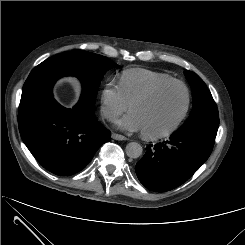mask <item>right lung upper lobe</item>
Here are the masks:
<instances>
[{
  "mask_svg": "<svg viewBox=\"0 0 245 245\" xmlns=\"http://www.w3.org/2000/svg\"><path fill=\"white\" fill-rule=\"evenodd\" d=\"M64 75L67 74L54 68L48 58L32 70L28 76V80L38 89H49L52 91V86L55 81Z\"/></svg>",
  "mask_w": 245,
  "mask_h": 245,
  "instance_id": "right-lung-upper-lobe-1",
  "label": "right lung upper lobe"
}]
</instances>
